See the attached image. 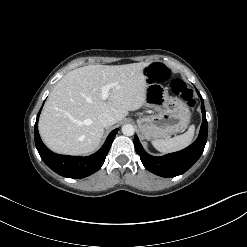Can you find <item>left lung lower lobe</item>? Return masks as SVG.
Wrapping results in <instances>:
<instances>
[{"label": "left lung lower lobe", "instance_id": "left-lung-lower-lobe-1", "mask_svg": "<svg viewBox=\"0 0 247 247\" xmlns=\"http://www.w3.org/2000/svg\"><path fill=\"white\" fill-rule=\"evenodd\" d=\"M197 93L201 99L203 121L197 140L189 147L179 152L170 153L162 157H155L145 152L137 135H135L134 145L136 152L140 156L144 167L150 172L166 178L181 175L193 166L203 153L207 141V120L203 98L198 91Z\"/></svg>", "mask_w": 247, "mask_h": 247}]
</instances>
